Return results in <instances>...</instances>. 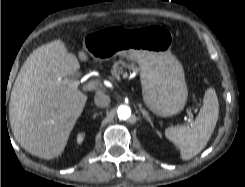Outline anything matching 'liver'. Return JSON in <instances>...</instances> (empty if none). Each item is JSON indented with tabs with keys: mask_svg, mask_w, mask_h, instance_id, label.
<instances>
[{
	"mask_svg": "<svg viewBox=\"0 0 245 187\" xmlns=\"http://www.w3.org/2000/svg\"><path fill=\"white\" fill-rule=\"evenodd\" d=\"M78 55L88 60L83 51ZM79 69L77 57L61 40L38 47L21 67L11 91L9 119L16 141L30 154L49 160L63 153L87 101L86 94L65 84ZM98 86L91 81L85 87Z\"/></svg>",
	"mask_w": 245,
	"mask_h": 187,
	"instance_id": "liver-1",
	"label": "liver"
}]
</instances>
